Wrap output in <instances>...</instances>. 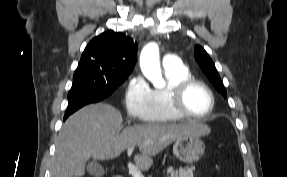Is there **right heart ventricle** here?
I'll return each mask as SVG.
<instances>
[{"mask_svg": "<svg viewBox=\"0 0 287 177\" xmlns=\"http://www.w3.org/2000/svg\"><path fill=\"white\" fill-rule=\"evenodd\" d=\"M166 84L162 88L151 89L149 116L147 120L152 123H168L183 119L176 114L170 103L171 90L181 81L191 77L189 69L180 64L172 68H163Z\"/></svg>", "mask_w": 287, "mask_h": 177, "instance_id": "1", "label": "right heart ventricle"}]
</instances>
